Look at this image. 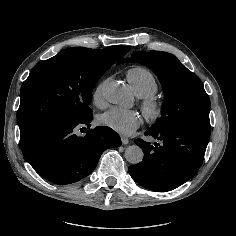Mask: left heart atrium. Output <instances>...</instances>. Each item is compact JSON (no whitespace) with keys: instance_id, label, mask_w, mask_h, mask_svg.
I'll list each match as a JSON object with an SVG mask.
<instances>
[{"instance_id":"39dd6f15","label":"left heart atrium","mask_w":236,"mask_h":236,"mask_svg":"<svg viewBox=\"0 0 236 236\" xmlns=\"http://www.w3.org/2000/svg\"><path fill=\"white\" fill-rule=\"evenodd\" d=\"M143 122L144 118L139 112L119 107H113L99 117L101 125L124 136L133 134Z\"/></svg>"}]
</instances>
